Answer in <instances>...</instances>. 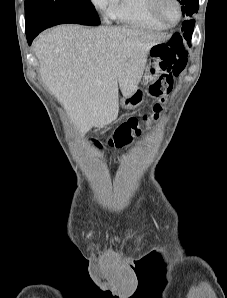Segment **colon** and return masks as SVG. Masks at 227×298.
I'll list each match as a JSON object with an SVG mask.
<instances>
[{"mask_svg": "<svg viewBox=\"0 0 227 298\" xmlns=\"http://www.w3.org/2000/svg\"><path fill=\"white\" fill-rule=\"evenodd\" d=\"M152 56L162 71V75L149 86V93L157 99L152 112L141 118L131 117L123 122L111 136L109 140L111 146L120 148L129 144L135 136L141 133L143 125L158 118L166 96L173 88L174 79L186 67L188 54L181 36L174 34L168 41L155 45L152 49Z\"/></svg>", "mask_w": 227, "mask_h": 298, "instance_id": "1", "label": "colon"}]
</instances>
